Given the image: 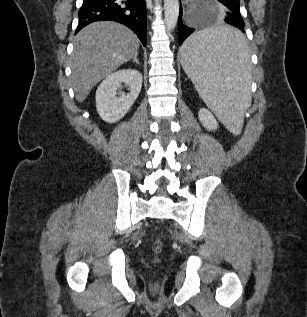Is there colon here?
I'll list each match as a JSON object with an SVG mask.
<instances>
[{"label":"colon","mask_w":307,"mask_h":317,"mask_svg":"<svg viewBox=\"0 0 307 317\" xmlns=\"http://www.w3.org/2000/svg\"><path fill=\"white\" fill-rule=\"evenodd\" d=\"M161 249H162V244H161V242L156 241V242L153 244V250H154L155 252H160Z\"/></svg>","instance_id":"obj_1"}]
</instances>
